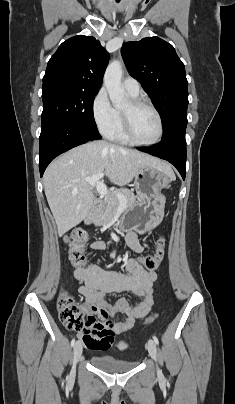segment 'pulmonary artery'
I'll use <instances>...</instances> for the list:
<instances>
[{
  "label": "pulmonary artery",
  "instance_id": "obj_1",
  "mask_svg": "<svg viewBox=\"0 0 235 404\" xmlns=\"http://www.w3.org/2000/svg\"><path fill=\"white\" fill-rule=\"evenodd\" d=\"M123 87L130 95L137 96L140 92V85L138 81L132 77H126L123 79Z\"/></svg>",
  "mask_w": 235,
  "mask_h": 404
}]
</instances>
